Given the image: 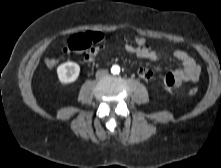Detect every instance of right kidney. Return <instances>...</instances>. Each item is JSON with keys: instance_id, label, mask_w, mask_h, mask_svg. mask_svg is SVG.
I'll list each match as a JSON object with an SVG mask.
<instances>
[{"instance_id": "right-kidney-1", "label": "right kidney", "mask_w": 221, "mask_h": 168, "mask_svg": "<svg viewBox=\"0 0 221 168\" xmlns=\"http://www.w3.org/2000/svg\"><path fill=\"white\" fill-rule=\"evenodd\" d=\"M80 73V66L75 62H66L57 67L59 81L69 84L77 80Z\"/></svg>"}]
</instances>
